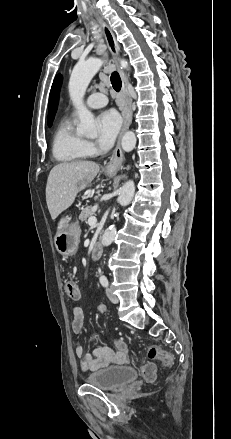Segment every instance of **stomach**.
Wrapping results in <instances>:
<instances>
[{
  "instance_id": "obj_1",
  "label": "stomach",
  "mask_w": 231,
  "mask_h": 439,
  "mask_svg": "<svg viewBox=\"0 0 231 439\" xmlns=\"http://www.w3.org/2000/svg\"><path fill=\"white\" fill-rule=\"evenodd\" d=\"M109 177L115 175V172H106ZM80 227L77 222H72L70 218H62L58 223V229L55 236V247L62 256H72L77 252Z\"/></svg>"
}]
</instances>
